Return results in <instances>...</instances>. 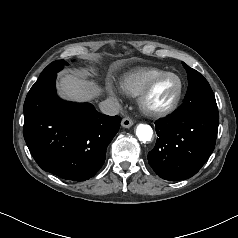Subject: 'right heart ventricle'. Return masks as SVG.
Segmentation results:
<instances>
[{
  "mask_svg": "<svg viewBox=\"0 0 238 238\" xmlns=\"http://www.w3.org/2000/svg\"><path fill=\"white\" fill-rule=\"evenodd\" d=\"M165 72L155 67H141L123 74L119 80L121 90L130 97H138L148 83Z\"/></svg>",
  "mask_w": 238,
  "mask_h": 238,
  "instance_id": "right-heart-ventricle-1",
  "label": "right heart ventricle"
}]
</instances>
